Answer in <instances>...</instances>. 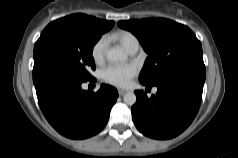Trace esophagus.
Masks as SVG:
<instances>
[{"mask_svg":"<svg viewBox=\"0 0 238 158\" xmlns=\"http://www.w3.org/2000/svg\"><path fill=\"white\" fill-rule=\"evenodd\" d=\"M125 93H126L125 90H118V94H119L120 96L124 95Z\"/></svg>","mask_w":238,"mask_h":158,"instance_id":"34e87169","label":"esophagus"}]
</instances>
